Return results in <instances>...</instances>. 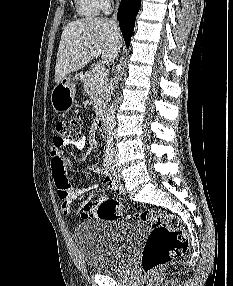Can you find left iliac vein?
<instances>
[{"label": "left iliac vein", "mask_w": 233, "mask_h": 286, "mask_svg": "<svg viewBox=\"0 0 233 286\" xmlns=\"http://www.w3.org/2000/svg\"><path fill=\"white\" fill-rule=\"evenodd\" d=\"M112 160H113V163H112V166H111V173L114 176V178L120 180V179H122V175H121V172H120V168H119V166L117 164L116 155L113 156Z\"/></svg>", "instance_id": "4c4485c4"}]
</instances>
